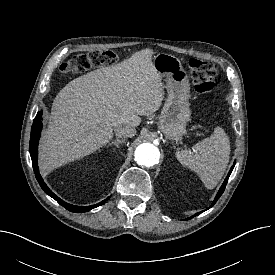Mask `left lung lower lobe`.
Instances as JSON below:
<instances>
[{"label":"left lung lower lobe","instance_id":"0a47b994","mask_svg":"<svg viewBox=\"0 0 275 275\" xmlns=\"http://www.w3.org/2000/svg\"><path fill=\"white\" fill-rule=\"evenodd\" d=\"M234 166H235V162H234L233 166L231 167V169H230V171H229V173H228V176L226 177V179H225L224 183L222 184L221 188L219 189V191H218V193H217V195H216V197H215V200H214V202H213V204H212L211 206H213V205L216 203V201L219 199V197H220V196L222 195V193L224 192V189H225V186H226V184H227L228 178H229V176H230V174H231V172H232ZM211 206H210V207H211ZM210 207H209V208H210ZM209 208H208V209H209ZM198 214H200V213H196L194 216H197ZM194 216H192V217H190V218H188V219H191V218H193Z\"/></svg>","mask_w":275,"mask_h":275}]
</instances>
